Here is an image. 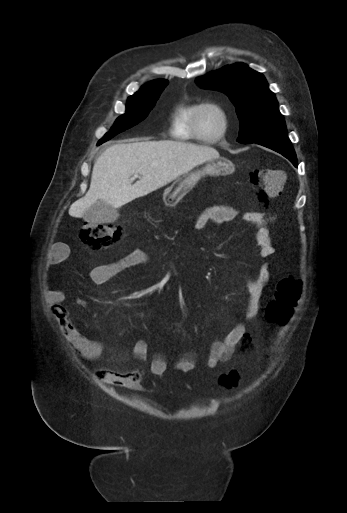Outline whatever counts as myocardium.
<instances>
[{
	"instance_id": "obj_1",
	"label": "myocardium",
	"mask_w": 347,
	"mask_h": 513,
	"mask_svg": "<svg viewBox=\"0 0 347 513\" xmlns=\"http://www.w3.org/2000/svg\"><path fill=\"white\" fill-rule=\"evenodd\" d=\"M206 109L216 110L220 114L221 119H222L221 131L214 137H210V138L203 137L200 133L199 126H198L199 115L203 110H206ZM229 123H230L229 112L222 104H219L216 102H203V103H200L195 110L191 127H192L193 133L196 136H198L199 138L203 139L205 141V143L213 144V143L220 141L222 138L225 137V135L228 131V128H229Z\"/></svg>"
}]
</instances>
